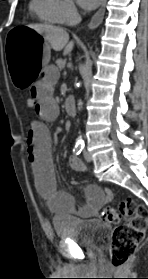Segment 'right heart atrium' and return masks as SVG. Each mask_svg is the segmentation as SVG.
Segmentation results:
<instances>
[{"mask_svg":"<svg viewBox=\"0 0 148 279\" xmlns=\"http://www.w3.org/2000/svg\"><path fill=\"white\" fill-rule=\"evenodd\" d=\"M60 13L66 23H73L79 18V12L71 0H58Z\"/></svg>","mask_w":148,"mask_h":279,"instance_id":"obj_1","label":"right heart atrium"}]
</instances>
